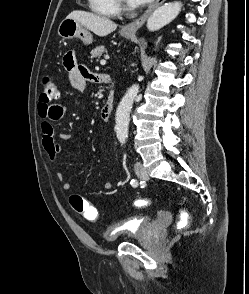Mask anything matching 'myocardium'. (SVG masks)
<instances>
[{
    "label": "myocardium",
    "mask_w": 249,
    "mask_h": 294,
    "mask_svg": "<svg viewBox=\"0 0 249 294\" xmlns=\"http://www.w3.org/2000/svg\"><path fill=\"white\" fill-rule=\"evenodd\" d=\"M120 8H122L123 10H126V11H131L133 10V6L131 3H129L128 0H117Z\"/></svg>",
    "instance_id": "1"
}]
</instances>
